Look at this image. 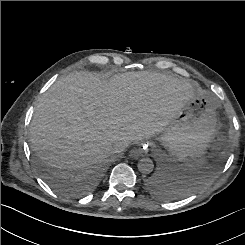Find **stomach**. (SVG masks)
I'll return each mask as SVG.
<instances>
[{
    "instance_id": "stomach-1",
    "label": "stomach",
    "mask_w": 245,
    "mask_h": 245,
    "mask_svg": "<svg viewBox=\"0 0 245 245\" xmlns=\"http://www.w3.org/2000/svg\"><path fill=\"white\" fill-rule=\"evenodd\" d=\"M219 129L215 100L196 93L157 140L174 158L190 162L214 145Z\"/></svg>"
}]
</instances>
